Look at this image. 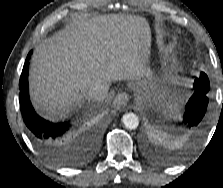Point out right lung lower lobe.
Instances as JSON below:
<instances>
[{
	"instance_id": "right-lung-lower-lobe-1",
	"label": "right lung lower lobe",
	"mask_w": 223,
	"mask_h": 188,
	"mask_svg": "<svg viewBox=\"0 0 223 188\" xmlns=\"http://www.w3.org/2000/svg\"><path fill=\"white\" fill-rule=\"evenodd\" d=\"M32 52L26 58L19 81V102L24 123L34 143L54 163L60 166L73 167L84 163L89 153L94 152L99 145V136L96 132L87 135L88 151L73 153L64 150V146L71 143L73 137L67 136L69 123H52L41 118L34 111L28 92V64Z\"/></svg>"
}]
</instances>
